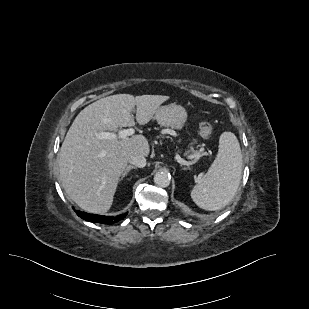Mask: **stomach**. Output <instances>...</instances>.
Returning <instances> with one entry per match:
<instances>
[{
    "label": "stomach",
    "mask_w": 309,
    "mask_h": 309,
    "mask_svg": "<svg viewBox=\"0 0 309 309\" xmlns=\"http://www.w3.org/2000/svg\"><path fill=\"white\" fill-rule=\"evenodd\" d=\"M155 119L161 126L180 131L187 121V112L183 106L172 103L160 107L155 114Z\"/></svg>",
    "instance_id": "1"
}]
</instances>
